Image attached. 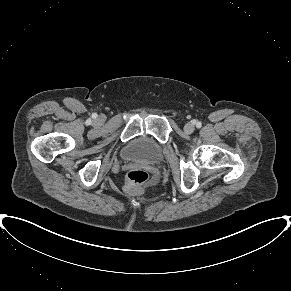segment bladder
Here are the masks:
<instances>
[{
  "instance_id": "31cf9c89",
  "label": "bladder",
  "mask_w": 291,
  "mask_h": 291,
  "mask_svg": "<svg viewBox=\"0 0 291 291\" xmlns=\"http://www.w3.org/2000/svg\"><path fill=\"white\" fill-rule=\"evenodd\" d=\"M127 160L156 163L163 156L162 145L150 136H139L131 140L122 151Z\"/></svg>"
}]
</instances>
